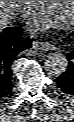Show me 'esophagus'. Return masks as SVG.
Wrapping results in <instances>:
<instances>
[{
	"instance_id": "34e87169",
	"label": "esophagus",
	"mask_w": 74,
	"mask_h": 122,
	"mask_svg": "<svg viewBox=\"0 0 74 122\" xmlns=\"http://www.w3.org/2000/svg\"><path fill=\"white\" fill-rule=\"evenodd\" d=\"M34 50H44L47 51L52 48V45H50L48 42H41V41H34L32 43Z\"/></svg>"
}]
</instances>
